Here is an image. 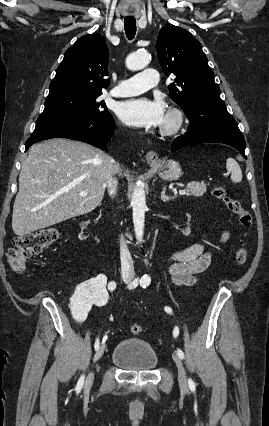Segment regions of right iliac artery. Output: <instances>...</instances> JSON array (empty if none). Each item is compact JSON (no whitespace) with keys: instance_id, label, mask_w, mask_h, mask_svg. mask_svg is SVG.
Returning <instances> with one entry per match:
<instances>
[{"instance_id":"82829eb1","label":"right iliac artery","mask_w":269,"mask_h":426,"mask_svg":"<svg viewBox=\"0 0 269 426\" xmlns=\"http://www.w3.org/2000/svg\"><path fill=\"white\" fill-rule=\"evenodd\" d=\"M138 284H139V278H135V279L133 280V282H131V283L128 285V288H129V289L136 288V287L138 286ZM115 288H116V283H115V282H110V283L108 284V289H109V290L113 291V290H115ZM94 348H95V350H98V349H99V338H97V339H96V341H95V345H94ZM83 384H84V375H82V376L80 377V379L78 380L75 390H76L77 392H80V391H81V389H82V387H83Z\"/></svg>"}]
</instances>
